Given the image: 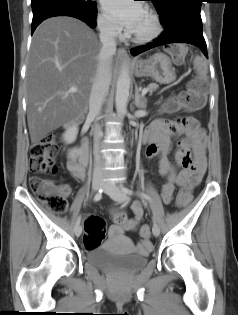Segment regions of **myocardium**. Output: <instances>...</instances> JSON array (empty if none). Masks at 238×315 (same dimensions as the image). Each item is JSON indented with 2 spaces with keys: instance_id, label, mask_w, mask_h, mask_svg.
<instances>
[{
  "instance_id": "obj_1",
  "label": "myocardium",
  "mask_w": 238,
  "mask_h": 315,
  "mask_svg": "<svg viewBox=\"0 0 238 315\" xmlns=\"http://www.w3.org/2000/svg\"><path fill=\"white\" fill-rule=\"evenodd\" d=\"M145 12L148 14V16L151 19V23H152L151 30L147 34H144V35H134L132 33L128 34V37L133 42L138 43V44H145V43H149L153 41L155 38H157L160 35L161 30H162L158 15L153 10H150V9H147Z\"/></svg>"
}]
</instances>
